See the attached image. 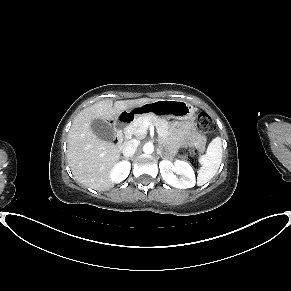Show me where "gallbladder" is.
<instances>
[{
  "instance_id": "gallbladder-1",
  "label": "gallbladder",
  "mask_w": 291,
  "mask_h": 291,
  "mask_svg": "<svg viewBox=\"0 0 291 291\" xmlns=\"http://www.w3.org/2000/svg\"><path fill=\"white\" fill-rule=\"evenodd\" d=\"M91 129L98 138L104 141L111 142L114 138V131L112 127L108 122L101 119H94L91 122Z\"/></svg>"
}]
</instances>
